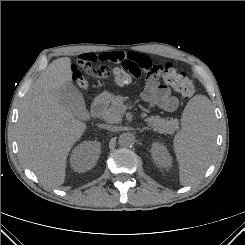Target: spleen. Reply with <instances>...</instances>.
I'll use <instances>...</instances> for the list:
<instances>
[{
  "instance_id": "3e777b00",
  "label": "spleen",
  "mask_w": 245,
  "mask_h": 245,
  "mask_svg": "<svg viewBox=\"0 0 245 245\" xmlns=\"http://www.w3.org/2000/svg\"><path fill=\"white\" fill-rule=\"evenodd\" d=\"M182 128L175 135L174 151L179 163L180 183L197 181L211 162L214 147V113L211 101L195 95L182 114Z\"/></svg>"
}]
</instances>
